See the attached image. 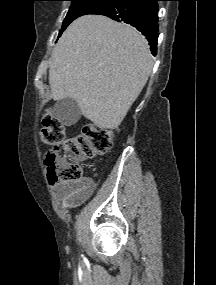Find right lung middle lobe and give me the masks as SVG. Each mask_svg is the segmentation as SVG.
Here are the masks:
<instances>
[{
	"label": "right lung middle lobe",
	"instance_id": "right-lung-middle-lobe-1",
	"mask_svg": "<svg viewBox=\"0 0 216 285\" xmlns=\"http://www.w3.org/2000/svg\"><path fill=\"white\" fill-rule=\"evenodd\" d=\"M72 2L71 7L64 19L59 36L67 28V26L76 18L87 15L95 14L99 10L113 4L116 0H69Z\"/></svg>",
	"mask_w": 216,
	"mask_h": 285
}]
</instances>
